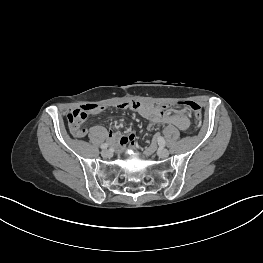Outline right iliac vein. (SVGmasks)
Returning a JSON list of instances; mask_svg holds the SVG:
<instances>
[{"mask_svg":"<svg viewBox=\"0 0 263 263\" xmlns=\"http://www.w3.org/2000/svg\"><path fill=\"white\" fill-rule=\"evenodd\" d=\"M101 154H102V156L105 157V158L111 156L110 150H107V149H106V150H103V151L101 152Z\"/></svg>","mask_w":263,"mask_h":263,"instance_id":"1","label":"right iliac vein"}]
</instances>
